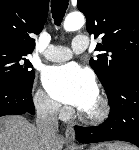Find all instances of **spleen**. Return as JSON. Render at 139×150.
Returning a JSON list of instances; mask_svg holds the SVG:
<instances>
[{
	"mask_svg": "<svg viewBox=\"0 0 139 150\" xmlns=\"http://www.w3.org/2000/svg\"><path fill=\"white\" fill-rule=\"evenodd\" d=\"M115 150H134L133 147L125 145V144H114Z\"/></svg>",
	"mask_w": 139,
	"mask_h": 150,
	"instance_id": "3e777b00",
	"label": "spleen"
}]
</instances>
